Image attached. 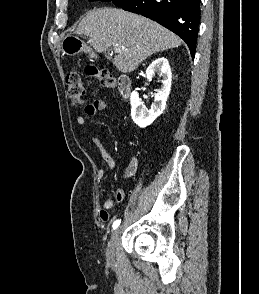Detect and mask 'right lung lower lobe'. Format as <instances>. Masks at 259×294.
Returning <instances> with one entry per match:
<instances>
[{"label":"right lung lower lobe","instance_id":"right-lung-lower-lobe-1","mask_svg":"<svg viewBox=\"0 0 259 294\" xmlns=\"http://www.w3.org/2000/svg\"><path fill=\"white\" fill-rule=\"evenodd\" d=\"M201 0H128L120 7L150 18L181 37L194 58Z\"/></svg>","mask_w":259,"mask_h":294}]
</instances>
